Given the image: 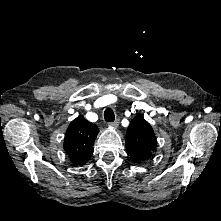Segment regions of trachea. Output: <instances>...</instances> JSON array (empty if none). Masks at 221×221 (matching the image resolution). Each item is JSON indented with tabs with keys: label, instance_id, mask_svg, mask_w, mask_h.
Listing matches in <instances>:
<instances>
[{
	"label": "trachea",
	"instance_id": "trachea-1",
	"mask_svg": "<svg viewBox=\"0 0 221 221\" xmlns=\"http://www.w3.org/2000/svg\"><path fill=\"white\" fill-rule=\"evenodd\" d=\"M104 119L107 122H113L115 120L114 111L111 108H108L104 112Z\"/></svg>",
	"mask_w": 221,
	"mask_h": 221
}]
</instances>
